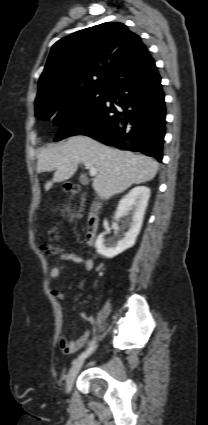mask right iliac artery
Masks as SVG:
<instances>
[{"instance_id": "82829eb1", "label": "right iliac artery", "mask_w": 208, "mask_h": 425, "mask_svg": "<svg viewBox=\"0 0 208 425\" xmlns=\"http://www.w3.org/2000/svg\"><path fill=\"white\" fill-rule=\"evenodd\" d=\"M95 348H96L95 340H92L90 346L84 352H82L79 355L78 360L79 359H84L87 356H89L94 351Z\"/></svg>"}]
</instances>
